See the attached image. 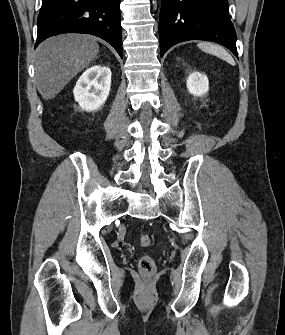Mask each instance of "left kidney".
I'll return each mask as SVG.
<instances>
[{"label": "left kidney", "mask_w": 285, "mask_h": 335, "mask_svg": "<svg viewBox=\"0 0 285 335\" xmlns=\"http://www.w3.org/2000/svg\"><path fill=\"white\" fill-rule=\"evenodd\" d=\"M186 86L193 96H204L209 90V80L204 74L193 72V74L188 76Z\"/></svg>", "instance_id": "obj_1"}]
</instances>
